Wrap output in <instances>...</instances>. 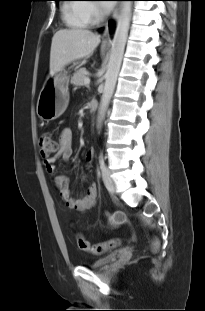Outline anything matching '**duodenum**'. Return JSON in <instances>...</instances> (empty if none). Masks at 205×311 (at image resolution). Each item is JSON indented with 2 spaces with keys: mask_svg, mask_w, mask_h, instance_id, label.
<instances>
[{
  "mask_svg": "<svg viewBox=\"0 0 205 311\" xmlns=\"http://www.w3.org/2000/svg\"><path fill=\"white\" fill-rule=\"evenodd\" d=\"M97 108H98V103L96 101H92L90 103V110H91V112H95L97 110Z\"/></svg>",
  "mask_w": 205,
  "mask_h": 311,
  "instance_id": "1",
  "label": "duodenum"
}]
</instances>
